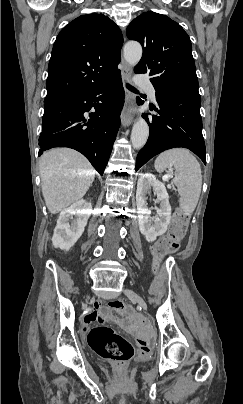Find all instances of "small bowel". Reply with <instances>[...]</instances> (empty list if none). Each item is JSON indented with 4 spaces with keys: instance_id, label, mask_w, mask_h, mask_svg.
<instances>
[{
    "instance_id": "small-bowel-1",
    "label": "small bowel",
    "mask_w": 243,
    "mask_h": 404,
    "mask_svg": "<svg viewBox=\"0 0 243 404\" xmlns=\"http://www.w3.org/2000/svg\"><path fill=\"white\" fill-rule=\"evenodd\" d=\"M100 310V304L99 303H95L93 308L91 309L90 312H88L83 320H82V329L83 332H87L89 329L90 324H92L95 321L101 320L102 316L99 312Z\"/></svg>"
}]
</instances>
